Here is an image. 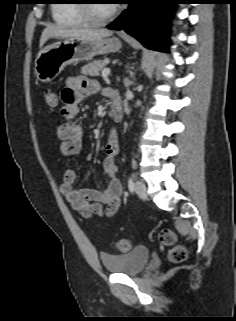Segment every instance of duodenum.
<instances>
[{
  "mask_svg": "<svg viewBox=\"0 0 236 321\" xmlns=\"http://www.w3.org/2000/svg\"><path fill=\"white\" fill-rule=\"evenodd\" d=\"M111 114L115 122H121L123 120L124 112L122 105L118 99H114L111 104Z\"/></svg>",
  "mask_w": 236,
  "mask_h": 321,
  "instance_id": "1",
  "label": "duodenum"
}]
</instances>
